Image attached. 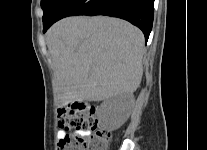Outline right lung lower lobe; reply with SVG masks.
Returning a JSON list of instances; mask_svg holds the SVG:
<instances>
[{
    "mask_svg": "<svg viewBox=\"0 0 207 150\" xmlns=\"http://www.w3.org/2000/svg\"><path fill=\"white\" fill-rule=\"evenodd\" d=\"M73 15H105L125 19L139 27L147 42L153 24L154 0H64L43 32L56 21Z\"/></svg>",
    "mask_w": 207,
    "mask_h": 150,
    "instance_id": "right-lung-lower-lobe-1",
    "label": "right lung lower lobe"
}]
</instances>
